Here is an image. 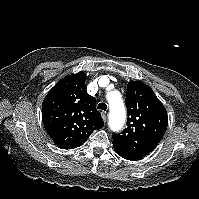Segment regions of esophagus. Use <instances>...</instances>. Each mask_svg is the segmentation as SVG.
Masks as SVG:
<instances>
[{"label":"esophagus","instance_id":"1","mask_svg":"<svg viewBox=\"0 0 199 199\" xmlns=\"http://www.w3.org/2000/svg\"><path fill=\"white\" fill-rule=\"evenodd\" d=\"M101 116H102L103 120L106 122V120H107V115H106V113H105V112H102V113H101Z\"/></svg>","mask_w":199,"mask_h":199}]
</instances>
